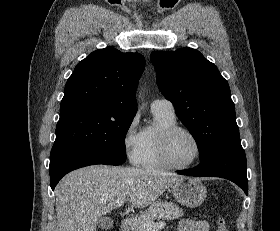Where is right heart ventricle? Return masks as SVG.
<instances>
[{"label": "right heart ventricle", "instance_id": "right-heart-ventricle-1", "mask_svg": "<svg viewBox=\"0 0 280 231\" xmlns=\"http://www.w3.org/2000/svg\"><path fill=\"white\" fill-rule=\"evenodd\" d=\"M159 122L157 129L146 128L143 131L144 135V151L141 158V164L144 167L151 169H162L167 166L160 160L158 154L157 136L159 130L165 126L176 125L177 120L175 116L154 113Z\"/></svg>", "mask_w": 280, "mask_h": 231}]
</instances>
